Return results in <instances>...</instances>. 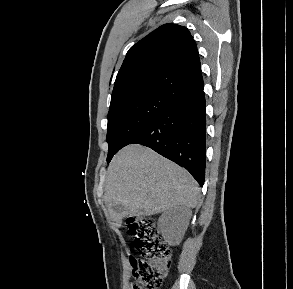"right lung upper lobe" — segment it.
Returning <instances> with one entry per match:
<instances>
[{
    "instance_id": "obj_1",
    "label": "right lung upper lobe",
    "mask_w": 293,
    "mask_h": 289,
    "mask_svg": "<svg viewBox=\"0 0 293 289\" xmlns=\"http://www.w3.org/2000/svg\"><path fill=\"white\" fill-rule=\"evenodd\" d=\"M204 89L197 45L187 28L164 24L133 45L119 70L111 105L158 95L176 103Z\"/></svg>"
}]
</instances>
